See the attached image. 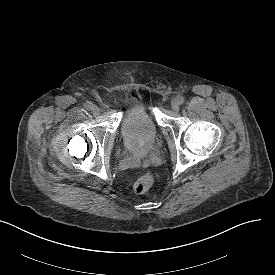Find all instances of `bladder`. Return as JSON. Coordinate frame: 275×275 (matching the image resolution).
Masks as SVG:
<instances>
[{
	"label": "bladder",
	"mask_w": 275,
	"mask_h": 275,
	"mask_svg": "<svg viewBox=\"0 0 275 275\" xmlns=\"http://www.w3.org/2000/svg\"><path fill=\"white\" fill-rule=\"evenodd\" d=\"M123 116L121 133L124 142L133 153L145 154L157 137L156 124L149 116L143 102L135 97L125 99Z\"/></svg>",
	"instance_id": "obj_1"
}]
</instances>
